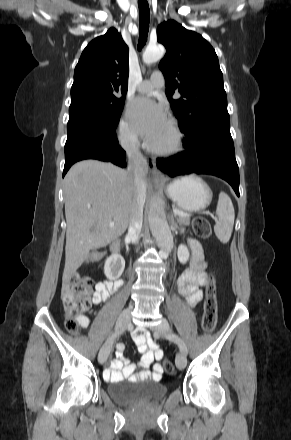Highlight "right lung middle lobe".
Instances as JSON below:
<instances>
[{"instance_id":"1","label":"right lung middle lobe","mask_w":291,"mask_h":440,"mask_svg":"<svg viewBox=\"0 0 291 440\" xmlns=\"http://www.w3.org/2000/svg\"><path fill=\"white\" fill-rule=\"evenodd\" d=\"M125 97L83 98L71 102L67 131L90 130L114 133L124 107Z\"/></svg>"}]
</instances>
